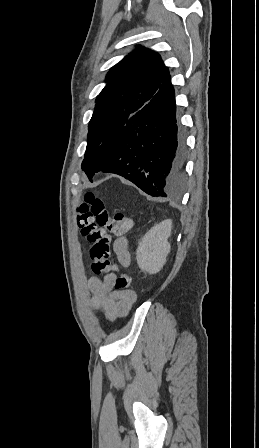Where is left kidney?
Here are the masks:
<instances>
[{
	"mask_svg": "<svg viewBox=\"0 0 259 448\" xmlns=\"http://www.w3.org/2000/svg\"><path fill=\"white\" fill-rule=\"evenodd\" d=\"M171 230L172 220H164L145 234L136 254L137 264L142 272L157 274L162 270L171 248L168 242Z\"/></svg>",
	"mask_w": 259,
	"mask_h": 448,
	"instance_id": "obj_1",
	"label": "left kidney"
}]
</instances>
